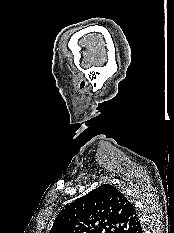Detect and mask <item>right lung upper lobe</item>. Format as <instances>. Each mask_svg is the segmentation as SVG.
I'll return each instance as SVG.
<instances>
[{
  "mask_svg": "<svg viewBox=\"0 0 174 233\" xmlns=\"http://www.w3.org/2000/svg\"><path fill=\"white\" fill-rule=\"evenodd\" d=\"M140 228L133 204L115 186L103 184L63 209L49 233H136Z\"/></svg>",
  "mask_w": 174,
  "mask_h": 233,
  "instance_id": "cb5924a9",
  "label": "right lung upper lobe"
}]
</instances>
